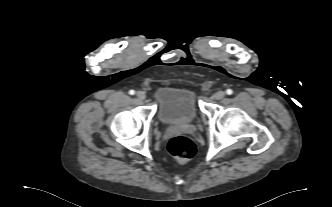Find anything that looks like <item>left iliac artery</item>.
I'll return each mask as SVG.
<instances>
[{"label": "left iliac artery", "mask_w": 332, "mask_h": 207, "mask_svg": "<svg viewBox=\"0 0 332 207\" xmlns=\"http://www.w3.org/2000/svg\"><path fill=\"white\" fill-rule=\"evenodd\" d=\"M226 93H227L228 95H231V94L233 93V91H232L231 89H227V90H226Z\"/></svg>", "instance_id": "44dca946"}]
</instances>
